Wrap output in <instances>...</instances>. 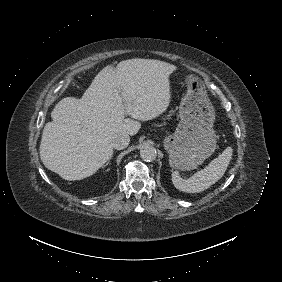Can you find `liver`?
I'll list each match as a JSON object with an SVG mask.
<instances>
[{
  "mask_svg": "<svg viewBox=\"0 0 282 282\" xmlns=\"http://www.w3.org/2000/svg\"><path fill=\"white\" fill-rule=\"evenodd\" d=\"M176 66L160 60L129 59L104 67L81 99L66 97L46 123L40 158L65 180L93 175L112 156L113 137L135 135L170 103L169 76ZM130 115V119L125 115Z\"/></svg>",
  "mask_w": 282,
  "mask_h": 282,
  "instance_id": "obj_1",
  "label": "liver"
}]
</instances>
